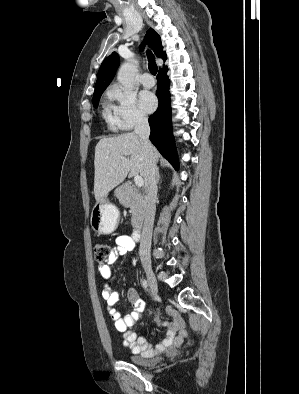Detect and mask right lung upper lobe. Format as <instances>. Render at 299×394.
<instances>
[{
    "mask_svg": "<svg viewBox=\"0 0 299 394\" xmlns=\"http://www.w3.org/2000/svg\"><path fill=\"white\" fill-rule=\"evenodd\" d=\"M145 42L150 45L156 56L163 58L164 61L166 60V53L162 51L160 36L153 29L150 28L147 31L145 40L140 46L141 50H143ZM119 63V56L116 52H113L103 61L98 72L94 95L103 92L107 88L115 75Z\"/></svg>",
    "mask_w": 299,
    "mask_h": 394,
    "instance_id": "obj_1",
    "label": "right lung upper lobe"
}]
</instances>
